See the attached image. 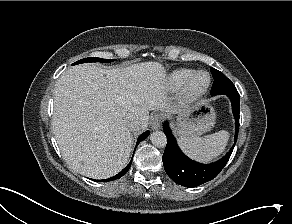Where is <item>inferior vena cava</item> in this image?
<instances>
[{
	"label": "inferior vena cava",
	"instance_id": "obj_1",
	"mask_svg": "<svg viewBox=\"0 0 292 224\" xmlns=\"http://www.w3.org/2000/svg\"><path fill=\"white\" fill-rule=\"evenodd\" d=\"M127 127L130 131H138L140 129V123L137 119L130 118L127 121Z\"/></svg>",
	"mask_w": 292,
	"mask_h": 224
}]
</instances>
